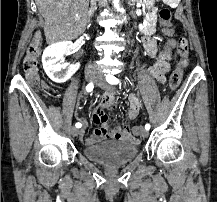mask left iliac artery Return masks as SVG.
Wrapping results in <instances>:
<instances>
[{
	"label": "left iliac artery",
	"instance_id": "obj_1",
	"mask_svg": "<svg viewBox=\"0 0 217 202\" xmlns=\"http://www.w3.org/2000/svg\"><path fill=\"white\" fill-rule=\"evenodd\" d=\"M106 80H107L108 83H110V84H112V85L119 83V80H118L116 77L110 76V75H107V76H106ZM145 129H146V130H149V129H150V124H146V125H145Z\"/></svg>",
	"mask_w": 217,
	"mask_h": 202
}]
</instances>
